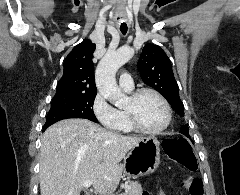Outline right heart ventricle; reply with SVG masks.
<instances>
[{"label":"right heart ventricle","instance_id":"e07e8e85","mask_svg":"<svg viewBox=\"0 0 240 195\" xmlns=\"http://www.w3.org/2000/svg\"><path fill=\"white\" fill-rule=\"evenodd\" d=\"M123 90L127 93H131L132 89H125ZM118 112V121L115 126L109 127L112 131H119V134L121 133H130L133 131L132 126L129 123L127 114L124 109L117 110Z\"/></svg>","mask_w":240,"mask_h":195}]
</instances>
